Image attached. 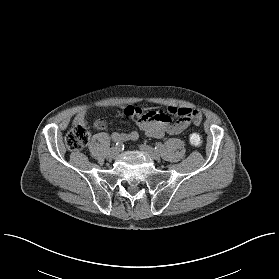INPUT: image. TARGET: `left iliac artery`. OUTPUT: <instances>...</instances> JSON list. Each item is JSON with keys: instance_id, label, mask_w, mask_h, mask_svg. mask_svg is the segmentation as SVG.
I'll return each instance as SVG.
<instances>
[{"instance_id": "left-iliac-artery-1", "label": "left iliac artery", "mask_w": 279, "mask_h": 279, "mask_svg": "<svg viewBox=\"0 0 279 279\" xmlns=\"http://www.w3.org/2000/svg\"><path fill=\"white\" fill-rule=\"evenodd\" d=\"M155 149L157 151H162L164 149V145L162 143H157Z\"/></svg>"}]
</instances>
